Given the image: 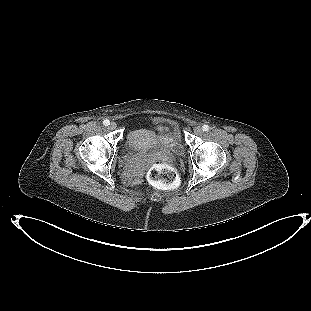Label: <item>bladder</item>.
<instances>
[{
  "label": "bladder",
  "mask_w": 311,
  "mask_h": 311,
  "mask_svg": "<svg viewBox=\"0 0 311 311\" xmlns=\"http://www.w3.org/2000/svg\"><path fill=\"white\" fill-rule=\"evenodd\" d=\"M152 127L158 130V137L150 129L136 128L130 130L124 140V148L129 153L146 150L167 149L176 155H182L184 145L179 127L165 117H154Z\"/></svg>",
  "instance_id": "1"
}]
</instances>
